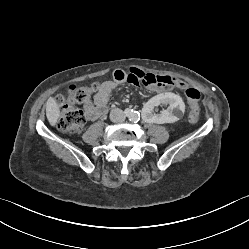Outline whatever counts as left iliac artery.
<instances>
[{
  "label": "left iliac artery",
  "mask_w": 249,
  "mask_h": 249,
  "mask_svg": "<svg viewBox=\"0 0 249 249\" xmlns=\"http://www.w3.org/2000/svg\"><path fill=\"white\" fill-rule=\"evenodd\" d=\"M133 116H134L133 119L136 120L137 119V114L135 113Z\"/></svg>",
  "instance_id": "left-iliac-artery-1"
}]
</instances>
